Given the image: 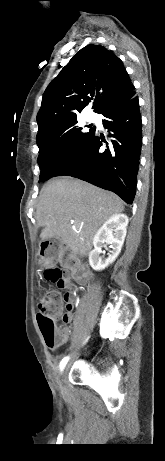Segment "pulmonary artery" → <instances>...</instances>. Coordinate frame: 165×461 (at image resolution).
<instances>
[{"instance_id":"e3ab8cb5","label":"pulmonary artery","mask_w":165,"mask_h":461,"mask_svg":"<svg viewBox=\"0 0 165 461\" xmlns=\"http://www.w3.org/2000/svg\"><path fill=\"white\" fill-rule=\"evenodd\" d=\"M87 119H88L89 121H92V120H93V117H92V116H88Z\"/></svg>"}]
</instances>
